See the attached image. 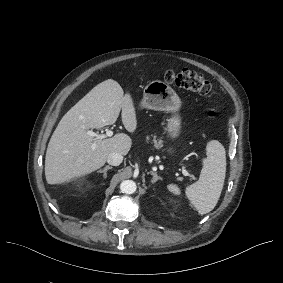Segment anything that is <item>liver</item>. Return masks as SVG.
<instances>
[{
	"instance_id": "6515ba94",
	"label": "liver",
	"mask_w": 283,
	"mask_h": 283,
	"mask_svg": "<svg viewBox=\"0 0 283 283\" xmlns=\"http://www.w3.org/2000/svg\"><path fill=\"white\" fill-rule=\"evenodd\" d=\"M128 132L137 127L135 108L129 93L118 82L108 79L95 86L60 120L48 144L45 176L48 184L70 182L102 167L110 153L127 155L131 138L117 133L96 139L89 129H100L116 122L120 111Z\"/></svg>"
}]
</instances>
